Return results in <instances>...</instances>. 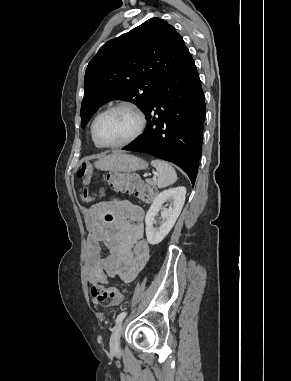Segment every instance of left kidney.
<instances>
[{
	"instance_id": "left-kidney-1",
	"label": "left kidney",
	"mask_w": 291,
	"mask_h": 381,
	"mask_svg": "<svg viewBox=\"0 0 291 381\" xmlns=\"http://www.w3.org/2000/svg\"><path fill=\"white\" fill-rule=\"evenodd\" d=\"M185 195L186 188L181 186L164 190L155 197L145 217L146 237L151 245L159 244L173 228L183 208ZM165 202H169V207L163 208L162 221L154 227L155 216Z\"/></svg>"
}]
</instances>
